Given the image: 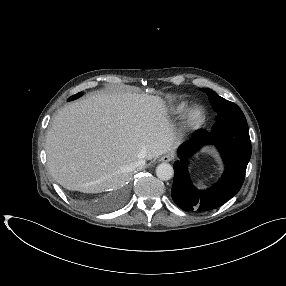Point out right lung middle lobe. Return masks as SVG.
<instances>
[{
	"label": "right lung middle lobe",
	"instance_id": "1",
	"mask_svg": "<svg viewBox=\"0 0 286 286\" xmlns=\"http://www.w3.org/2000/svg\"><path fill=\"white\" fill-rule=\"evenodd\" d=\"M82 95H83V93L80 92V93H78V94H76V95H73V96H71L70 98H68V101L75 100V99L79 98V97L82 96Z\"/></svg>",
	"mask_w": 286,
	"mask_h": 286
}]
</instances>
